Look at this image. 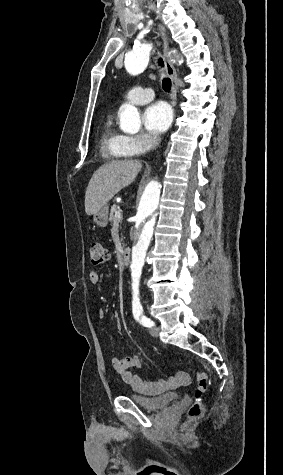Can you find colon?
Instances as JSON below:
<instances>
[{
	"label": "colon",
	"instance_id": "obj_1",
	"mask_svg": "<svg viewBox=\"0 0 283 475\" xmlns=\"http://www.w3.org/2000/svg\"><path fill=\"white\" fill-rule=\"evenodd\" d=\"M108 259V251L98 242L93 243L90 247V260L94 266L105 263ZM194 373L196 380L195 398L193 404L188 410V416L192 419L199 418L204 408V395L208 389V376L203 371L190 369ZM189 376L188 373L183 374Z\"/></svg>",
	"mask_w": 283,
	"mask_h": 475
}]
</instances>
